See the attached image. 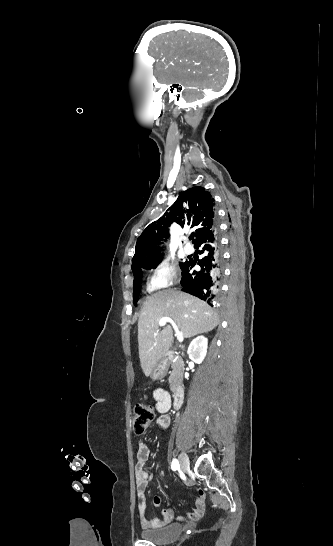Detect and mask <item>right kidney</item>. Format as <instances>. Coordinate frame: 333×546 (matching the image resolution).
Listing matches in <instances>:
<instances>
[{
    "label": "right kidney",
    "mask_w": 333,
    "mask_h": 546,
    "mask_svg": "<svg viewBox=\"0 0 333 546\" xmlns=\"http://www.w3.org/2000/svg\"><path fill=\"white\" fill-rule=\"evenodd\" d=\"M207 345L208 340L204 336L194 339L187 350L189 358L197 364L202 363L207 353Z\"/></svg>",
    "instance_id": "ca27d5eb"
}]
</instances>
